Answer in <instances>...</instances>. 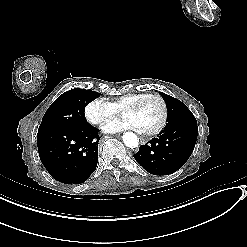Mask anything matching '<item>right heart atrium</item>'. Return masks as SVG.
Segmentation results:
<instances>
[{
  "instance_id": "d8ad5b80",
  "label": "right heart atrium",
  "mask_w": 247,
  "mask_h": 247,
  "mask_svg": "<svg viewBox=\"0 0 247 247\" xmlns=\"http://www.w3.org/2000/svg\"><path fill=\"white\" fill-rule=\"evenodd\" d=\"M115 113L116 107L114 104L101 98L91 99L84 107V115L87 121L98 126L109 121Z\"/></svg>"
}]
</instances>
